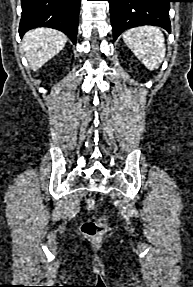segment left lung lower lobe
Returning <instances> with one entry per match:
<instances>
[{
    "mask_svg": "<svg viewBox=\"0 0 193 287\" xmlns=\"http://www.w3.org/2000/svg\"><path fill=\"white\" fill-rule=\"evenodd\" d=\"M114 40L127 28L156 25L170 32L169 9L172 0H107Z\"/></svg>",
    "mask_w": 193,
    "mask_h": 287,
    "instance_id": "left-lung-lower-lobe-1",
    "label": "left lung lower lobe"
}]
</instances>
